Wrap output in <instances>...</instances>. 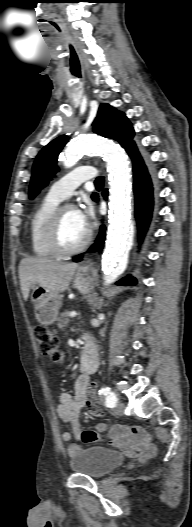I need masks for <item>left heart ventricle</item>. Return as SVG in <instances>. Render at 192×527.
Instances as JSON below:
<instances>
[{
  "instance_id": "1",
  "label": "left heart ventricle",
  "mask_w": 192,
  "mask_h": 527,
  "mask_svg": "<svg viewBox=\"0 0 192 527\" xmlns=\"http://www.w3.org/2000/svg\"><path fill=\"white\" fill-rule=\"evenodd\" d=\"M87 234V229L78 219L75 210H66L62 217L60 237L66 247H74L81 243Z\"/></svg>"
}]
</instances>
